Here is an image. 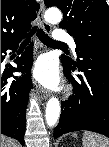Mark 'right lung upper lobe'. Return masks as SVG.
Wrapping results in <instances>:
<instances>
[{
	"label": "right lung upper lobe",
	"mask_w": 109,
	"mask_h": 147,
	"mask_svg": "<svg viewBox=\"0 0 109 147\" xmlns=\"http://www.w3.org/2000/svg\"><path fill=\"white\" fill-rule=\"evenodd\" d=\"M38 8L34 0H1V45L24 36Z\"/></svg>",
	"instance_id": "right-lung-upper-lobe-1"
}]
</instances>
